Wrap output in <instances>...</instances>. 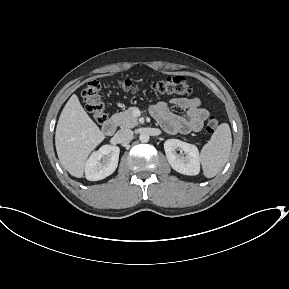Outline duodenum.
Instances as JSON below:
<instances>
[{
  "instance_id": "obj_1",
  "label": "duodenum",
  "mask_w": 289,
  "mask_h": 289,
  "mask_svg": "<svg viewBox=\"0 0 289 289\" xmlns=\"http://www.w3.org/2000/svg\"><path fill=\"white\" fill-rule=\"evenodd\" d=\"M103 131L107 136H113L116 131V123L113 120H108L103 125Z\"/></svg>"
}]
</instances>
